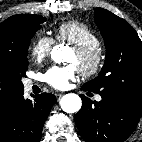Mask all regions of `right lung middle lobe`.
I'll return each instance as SVG.
<instances>
[{"instance_id": "right-lung-middle-lobe-1", "label": "right lung middle lobe", "mask_w": 142, "mask_h": 142, "mask_svg": "<svg viewBox=\"0 0 142 142\" xmlns=\"http://www.w3.org/2000/svg\"><path fill=\"white\" fill-rule=\"evenodd\" d=\"M45 21L44 17L29 15L14 44L0 52V88L24 91L21 79L26 77L30 40Z\"/></svg>"}]
</instances>
